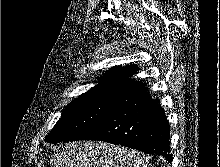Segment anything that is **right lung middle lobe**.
I'll list each match as a JSON object with an SVG mask.
<instances>
[{
    "mask_svg": "<svg viewBox=\"0 0 220 167\" xmlns=\"http://www.w3.org/2000/svg\"><path fill=\"white\" fill-rule=\"evenodd\" d=\"M113 102L114 99L96 97L73 100L45 140L48 143L82 140L105 117Z\"/></svg>",
    "mask_w": 220,
    "mask_h": 167,
    "instance_id": "dd1d6c3e",
    "label": "right lung middle lobe"
}]
</instances>
